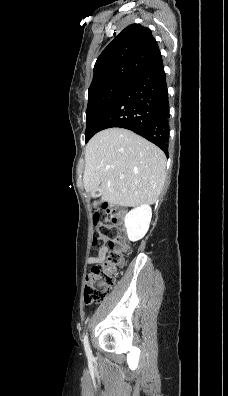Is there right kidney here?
<instances>
[{
    "instance_id": "obj_1",
    "label": "right kidney",
    "mask_w": 228,
    "mask_h": 396,
    "mask_svg": "<svg viewBox=\"0 0 228 396\" xmlns=\"http://www.w3.org/2000/svg\"><path fill=\"white\" fill-rule=\"evenodd\" d=\"M152 209L148 204H142L125 215L124 224L130 241L140 240L149 229Z\"/></svg>"
}]
</instances>
